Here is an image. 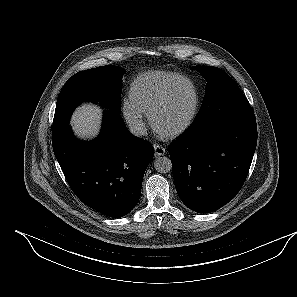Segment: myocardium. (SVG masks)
Here are the masks:
<instances>
[{
  "label": "myocardium",
  "mask_w": 297,
  "mask_h": 297,
  "mask_svg": "<svg viewBox=\"0 0 297 297\" xmlns=\"http://www.w3.org/2000/svg\"><path fill=\"white\" fill-rule=\"evenodd\" d=\"M182 81L190 84L192 92H193V101H192L190 111H189L187 117L185 118V120L181 124H179L177 127L173 128L171 130H168V131H161L158 129V127L156 125V122H155L156 116L166 106V104L170 100V97L172 95L174 88L177 86L178 83H180ZM199 102H200L199 92H198L195 82L187 76L178 75L168 85V87L166 88V90L164 91L162 96L159 98V100L153 105V107L149 111L148 114H149V121H150L151 127L154 129L155 132H157L160 135L165 136V137L173 138V137L181 135L192 125L193 121L195 120V117L197 115L198 108H199Z\"/></svg>",
  "instance_id": "obj_1"
}]
</instances>
